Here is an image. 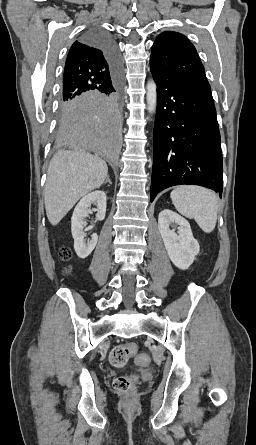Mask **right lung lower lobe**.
Segmentation results:
<instances>
[{
    "instance_id": "1",
    "label": "right lung lower lobe",
    "mask_w": 256,
    "mask_h": 445,
    "mask_svg": "<svg viewBox=\"0 0 256 445\" xmlns=\"http://www.w3.org/2000/svg\"><path fill=\"white\" fill-rule=\"evenodd\" d=\"M83 39L100 48L114 73L109 88L60 101L59 141L114 163L121 149L120 58L115 42L105 31L91 27Z\"/></svg>"
}]
</instances>
